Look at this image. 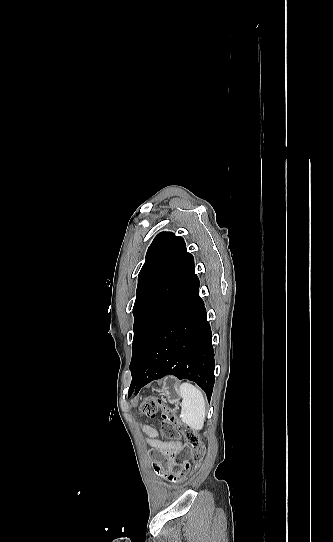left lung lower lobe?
<instances>
[{
  "label": "left lung lower lobe",
  "instance_id": "1",
  "mask_svg": "<svg viewBox=\"0 0 333 542\" xmlns=\"http://www.w3.org/2000/svg\"><path fill=\"white\" fill-rule=\"evenodd\" d=\"M212 332L199 297V280L154 337L128 395L166 375L196 382L210 400L214 386Z\"/></svg>",
  "mask_w": 333,
  "mask_h": 542
}]
</instances>
